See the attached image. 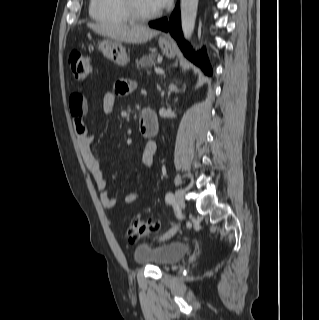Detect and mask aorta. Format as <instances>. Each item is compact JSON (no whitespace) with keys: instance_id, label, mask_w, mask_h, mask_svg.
Wrapping results in <instances>:
<instances>
[{"instance_id":"762f6f07","label":"aorta","mask_w":319,"mask_h":320,"mask_svg":"<svg viewBox=\"0 0 319 320\" xmlns=\"http://www.w3.org/2000/svg\"><path fill=\"white\" fill-rule=\"evenodd\" d=\"M197 9L198 0H181V27L187 40L194 31Z\"/></svg>"}]
</instances>
